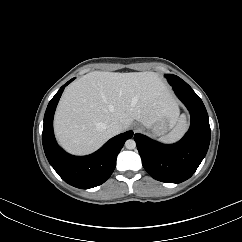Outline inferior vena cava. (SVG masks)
<instances>
[{"label":"inferior vena cava","instance_id":"inferior-vena-cava-1","mask_svg":"<svg viewBox=\"0 0 242 242\" xmlns=\"http://www.w3.org/2000/svg\"><path fill=\"white\" fill-rule=\"evenodd\" d=\"M107 131L112 135H117L122 132V126L119 123H111L107 127Z\"/></svg>","mask_w":242,"mask_h":242}]
</instances>
